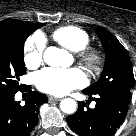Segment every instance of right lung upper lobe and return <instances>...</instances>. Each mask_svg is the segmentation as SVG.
<instances>
[{
	"label": "right lung upper lobe",
	"mask_w": 136,
	"mask_h": 136,
	"mask_svg": "<svg viewBox=\"0 0 136 136\" xmlns=\"http://www.w3.org/2000/svg\"><path fill=\"white\" fill-rule=\"evenodd\" d=\"M40 23H30L14 19H6L0 22V31H7L17 26L37 27Z\"/></svg>",
	"instance_id": "cb5924a9"
}]
</instances>
